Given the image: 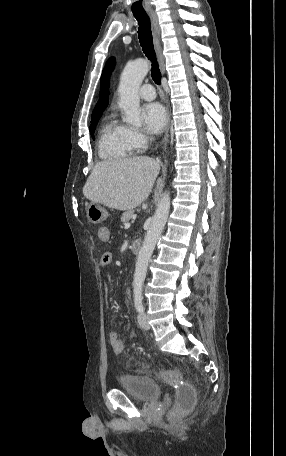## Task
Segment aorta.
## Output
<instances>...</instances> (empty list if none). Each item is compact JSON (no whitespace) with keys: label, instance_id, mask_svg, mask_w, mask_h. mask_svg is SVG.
<instances>
[{"label":"aorta","instance_id":"1","mask_svg":"<svg viewBox=\"0 0 286 456\" xmlns=\"http://www.w3.org/2000/svg\"><path fill=\"white\" fill-rule=\"evenodd\" d=\"M149 63L144 59L135 60L125 66L118 87L119 106L124 110V122L140 126V100L139 87L147 75ZM170 211V194L165 191L159 201L151 225L145 235L139 251L133 278L134 291H141L146 278V273L154 251L155 245L167 222Z\"/></svg>","mask_w":286,"mask_h":456}]
</instances>
